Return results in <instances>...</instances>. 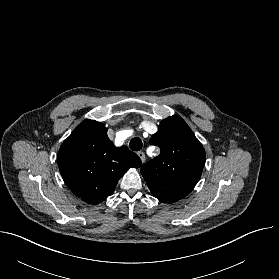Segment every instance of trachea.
<instances>
[{"mask_svg":"<svg viewBox=\"0 0 279 279\" xmlns=\"http://www.w3.org/2000/svg\"><path fill=\"white\" fill-rule=\"evenodd\" d=\"M129 147L133 151H140L142 149L141 139L138 138V137H135V138L131 139V141L129 143Z\"/></svg>","mask_w":279,"mask_h":279,"instance_id":"obj_1","label":"trachea"}]
</instances>
